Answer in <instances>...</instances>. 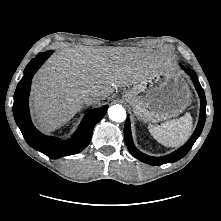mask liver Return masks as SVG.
Returning a JSON list of instances; mask_svg holds the SVG:
<instances>
[{
    "instance_id": "6515ba94",
    "label": "liver",
    "mask_w": 221,
    "mask_h": 221,
    "mask_svg": "<svg viewBox=\"0 0 221 221\" xmlns=\"http://www.w3.org/2000/svg\"><path fill=\"white\" fill-rule=\"evenodd\" d=\"M155 52L128 47H75L52 56L32 87L31 111L46 131L65 125L83 107L84 92L97 91L105 100L117 87L137 84L167 68Z\"/></svg>"
}]
</instances>
